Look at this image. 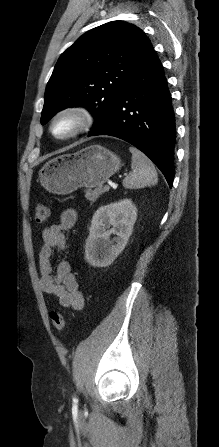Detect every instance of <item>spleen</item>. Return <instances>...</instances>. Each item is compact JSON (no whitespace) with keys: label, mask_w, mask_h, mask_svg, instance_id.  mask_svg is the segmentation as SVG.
Listing matches in <instances>:
<instances>
[{"label":"spleen","mask_w":219,"mask_h":447,"mask_svg":"<svg viewBox=\"0 0 219 447\" xmlns=\"http://www.w3.org/2000/svg\"><path fill=\"white\" fill-rule=\"evenodd\" d=\"M129 150L132 153V172L123 180V186L127 189H138L155 185L158 178L153 163L138 149L130 147Z\"/></svg>","instance_id":"obj_1"}]
</instances>
